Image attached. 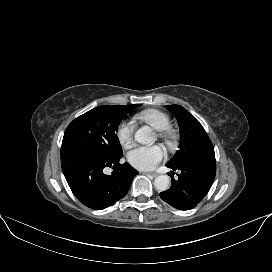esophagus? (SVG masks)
<instances>
[{
	"mask_svg": "<svg viewBox=\"0 0 272 272\" xmlns=\"http://www.w3.org/2000/svg\"><path fill=\"white\" fill-rule=\"evenodd\" d=\"M143 174L145 175H149V176H152V177H156L158 174L157 173H154V172H143Z\"/></svg>",
	"mask_w": 272,
	"mask_h": 272,
	"instance_id": "esophagus-1",
	"label": "esophagus"
}]
</instances>
